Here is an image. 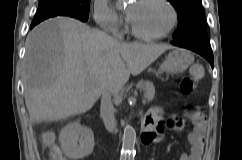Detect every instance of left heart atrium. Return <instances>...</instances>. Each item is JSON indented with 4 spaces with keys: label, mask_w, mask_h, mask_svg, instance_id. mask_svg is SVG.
Returning <instances> with one entry per match:
<instances>
[{
    "label": "left heart atrium",
    "mask_w": 242,
    "mask_h": 160,
    "mask_svg": "<svg viewBox=\"0 0 242 160\" xmlns=\"http://www.w3.org/2000/svg\"><path fill=\"white\" fill-rule=\"evenodd\" d=\"M127 14H128V16H129V11L127 10Z\"/></svg>",
    "instance_id": "39dd6f15"
}]
</instances>
